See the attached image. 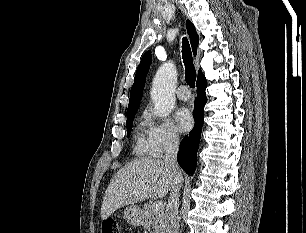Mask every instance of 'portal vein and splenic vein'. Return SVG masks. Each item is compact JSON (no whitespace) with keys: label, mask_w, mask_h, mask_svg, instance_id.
Segmentation results:
<instances>
[{"label":"portal vein and splenic vein","mask_w":306,"mask_h":233,"mask_svg":"<svg viewBox=\"0 0 306 233\" xmlns=\"http://www.w3.org/2000/svg\"><path fill=\"white\" fill-rule=\"evenodd\" d=\"M161 209H163V203H162V201H156V202H154V204H153V210H154L155 212H157V211H159V210H161Z\"/></svg>","instance_id":"18ae733b"}]
</instances>
